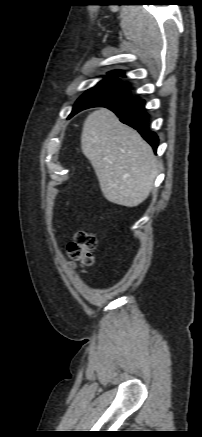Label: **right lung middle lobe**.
Masks as SVG:
<instances>
[{
    "instance_id": "dd1d6c3e",
    "label": "right lung middle lobe",
    "mask_w": 202,
    "mask_h": 437,
    "mask_svg": "<svg viewBox=\"0 0 202 437\" xmlns=\"http://www.w3.org/2000/svg\"><path fill=\"white\" fill-rule=\"evenodd\" d=\"M95 87L86 91L75 103L70 116L81 110L131 100L129 87L115 73H109Z\"/></svg>"
}]
</instances>
